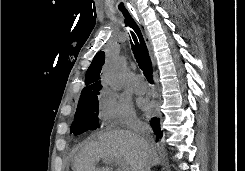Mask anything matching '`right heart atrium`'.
Here are the masks:
<instances>
[{"mask_svg": "<svg viewBox=\"0 0 245 171\" xmlns=\"http://www.w3.org/2000/svg\"><path fill=\"white\" fill-rule=\"evenodd\" d=\"M98 118L106 128H133L138 125L131 106L110 91H103L99 96Z\"/></svg>", "mask_w": 245, "mask_h": 171, "instance_id": "obj_1", "label": "right heart atrium"}]
</instances>
